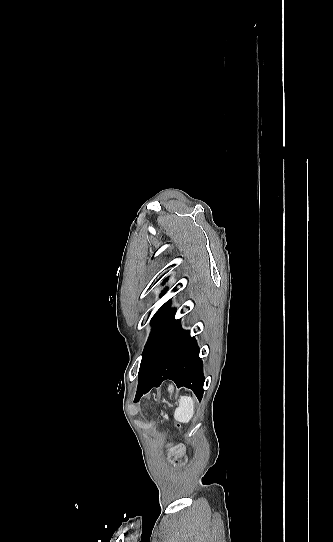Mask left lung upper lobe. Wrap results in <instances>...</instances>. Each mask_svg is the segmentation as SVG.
Here are the masks:
<instances>
[{"label": "left lung upper lobe", "mask_w": 333, "mask_h": 542, "mask_svg": "<svg viewBox=\"0 0 333 542\" xmlns=\"http://www.w3.org/2000/svg\"><path fill=\"white\" fill-rule=\"evenodd\" d=\"M168 303L163 304V306L155 313L152 320L153 322L157 321L156 325L154 326L148 341L145 345L144 351L142 353V359L146 352L147 347L149 346L150 342L154 338V336L157 334V332L164 326V324L174 315V310L170 311V313H166V306ZM142 362V361H141Z\"/></svg>", "instance_id": "obj_1"}]
</instances>
